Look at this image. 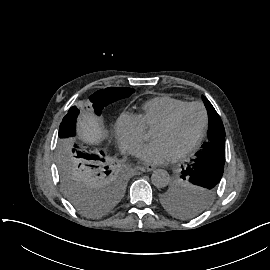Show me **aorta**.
<instances>
[{
  "label": "aorta",
  "mask_w": 270,
  "mask_h": 270,
  "mask_svg": "<svg viewBox=\"0 0 270 270\" xmlns=\"http://www.w3.org/2000/svg\"><path fill=\"white\" fill-rule=\"evenodd\" d=\"M170 180L169 174L164 169H156L153 171L151 181L157 188H162L168 185Z\"/></svg>",
  "instance_id": "1"
}]
</instances>
